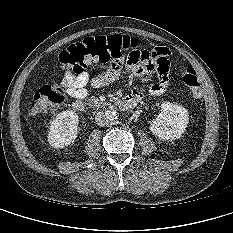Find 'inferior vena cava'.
Listing matches in <instances>:
<instances>
[{
	"mask_svg": "<svg viewBox=\"0 0 233 233\" xmlns=\"http://www.w3.org/2000/svg\"><path fill=\"white\" fill-rule=\"evenodd\" d=\"M95 120H96L97 125L99 126H106L109 124L104 112L96 113Z\"/></svg>",
	"mask_w": 233,
	"mask_h": 233,
	"instance_id": "1",
	"label": "inferior vena cava"
}]
</instances>
